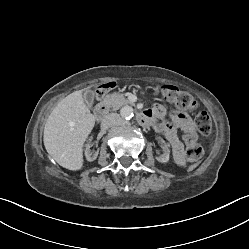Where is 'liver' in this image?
<instances>
[{"label":"liver","mask_w":249,"mask_h":249,"mask_svg":"<svg viewBox=\"0 0 249 249\" xmlns=\"http://www.w3.org/2000/svg\"><path fill=\"white\" fill-rule=\"evenodd\" d=\"M83 90L64 98L51 112L44 128V146L62 167H83V145L95 125V117L84 103Z\"/></svg>","instance_id":"obj_1"}]
</instances>
